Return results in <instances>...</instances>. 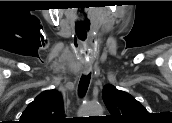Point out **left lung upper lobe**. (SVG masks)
<instances>
[{"label": "left lung upper lobe", "mask_w": 172, "mask_h": 123, "mask_svg": "<svg viewBox=\"0 0 172 123\" xmlns=\"http://www.w3.org/2000/svg\"><path fill=\"white\" fill-rule=\"evenodd\" d=\"M103 100L110 113L108 118L114 121L139 120L147 114L146 108L132 95L110 84L103 88Z\"/></svg>", "instance_id": "1"}]
</instances>
